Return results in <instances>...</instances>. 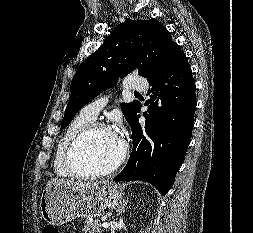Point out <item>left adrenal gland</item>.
Here are the masks:
<instances>
[{
  "mask_svg": "<svg viewBox=\"0 0 253 233\" xmlns=\"http://www.w3.org/2000/svg\"><path fill=\"white\" fill-rule=\"evenodd\" d=\"M127 201H124L123 203H121V205L118 207L117 209V216H119L120 214H122L125 211V207L127 205Z\"/></svg>",
  "mask_w": 253,
  "mask_h": 233,
  "instance_id": "1",
  "label": "left adrenal gland"
}]
</instances>
